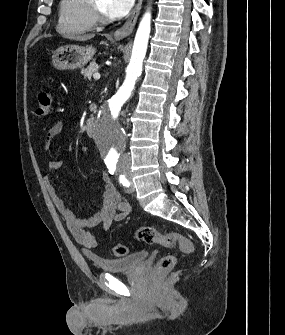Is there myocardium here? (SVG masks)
<instances>
[{"label": "myocardium", "mask_w": 285, "mask_h": 335, "mask_svg": "<svg viewBox=\"0 0 285 335\" xmlns=\"http://www.w3.org/2000/svg\"><path fill=\"white\" fill-rule=\"evenodd\" d=\"M95 24L106 26L111 23V19L106 15L101 1H94Z\"/></svg>", "instance_id": "1"}]
</instances>
